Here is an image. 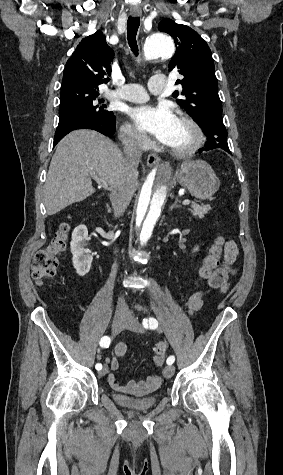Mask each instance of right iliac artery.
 <instances>
[{"label": "right iliac artery", "mask_w": 283, "mask_h": 475, "mask_svg": "<svg viewBox=\"0 0 283 475\" xmlns=\"http://www.w3.org/2000/svg\"><path fill=\"white\" fill-rule=\"evenodd\" d=\"M110 342H111L110 337L104 336V337H102L101 340H100V346H101V347H104V348H108L109 345H110ZM95 368H96L97 370H101V369H102V364H100V363L96 364V365H95Z\"/></svg>", "instance_id": "1"}]
</instances>
